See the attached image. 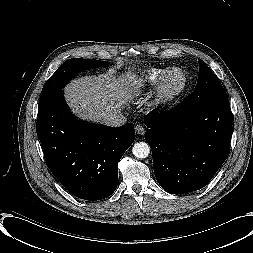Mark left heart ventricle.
<instances>
[{
  "label": "left heart ventricle",
  "instance_id": "left-heart-ventricle-1",
  "mask_svg": "<svg viewBox=\"0 0 253 253\" xmlns=\"http://www.w3.org/2000/svg\"><path fill=\"white\" fill-rule=\"evenodd\" d=\"M182 83V76L179 72L173 73L169 76L165 83L166 91L176 90Z\"/></svg>",
  "mask_w": 253,
  "mask_h": 253
}]
</instances>
